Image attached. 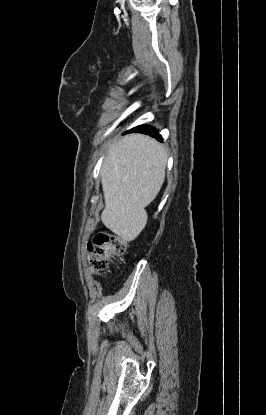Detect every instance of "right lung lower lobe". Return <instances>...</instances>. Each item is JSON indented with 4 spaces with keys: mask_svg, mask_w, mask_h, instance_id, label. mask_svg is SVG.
Instances as JSON below:
<instances>
[{
    "mask_svg": "<svg viewBox=\"0 0 266 415\" xmlns=\"http://www.w3.org/2000/svg\"><path fill=\"white\" fill-rule=\"evenodd\" d=\"M131 132H140L144 134H148L154 138H157L159 141H162V137L158 138L157 130L149 125H140L130 130Z\"/></svg>",
    "mask_w": 266,
    "mask_h": 415,
    "instance_id": "1",
    "label": "right lung lower lobe"
}]
</instances>
